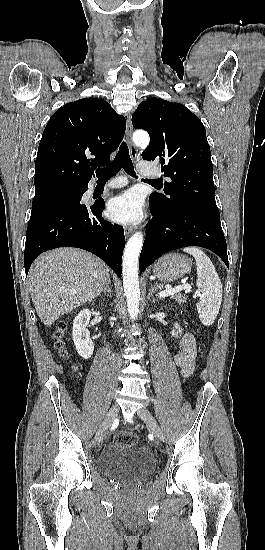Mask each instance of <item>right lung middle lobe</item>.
Segmentation results:
<instances>
[{
	"label": "right lung middle lobe",
	"mask_w": 265,
	"mask_h": 550,
	"mask_svg": "<svg viewBox=\"0 0 265 550\" xmlns=\"http://www.w3.org/2000/svg\"><path fill=\"white\" fill-rule=\"evenodd\" d=\"M83 194L84 189L63 185L38 187L32 202V212L62 205H82L80 201Z\"/></svg>",
	"instance_id": "dd1d6c3e"
}]
</instances>
